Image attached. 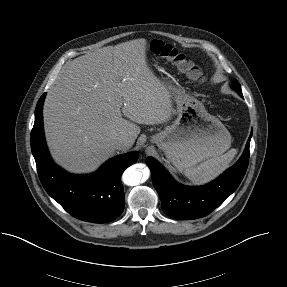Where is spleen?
Masks as SVG:
<instances>
[{"label":"spleen","instance_id":"spleen-1","mask_svg":"<svg viewBox=\"0 0 287 287\" xmlns=\"http://www.w3.org/2000/svg\"><path fill=\"white\" fill-rule=\"evenodd\" d=\"M237 149H230L227 153L208 159L197 167L187 168L184 171L185 176L196 184H205L219 176L230 164Z\"/></svg>","mask_w":287,"mask_h":287}]
</instances>
